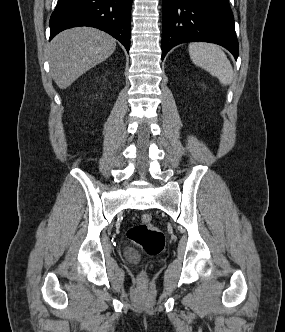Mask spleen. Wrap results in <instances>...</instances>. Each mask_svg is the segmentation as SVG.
Listing matches in <instances>:
<instances>
[{
  "label": "spleen",
  "instance_id": "spleen-1",
  "mask_svg": "<svg viewBox=\"0 0 285 332\" xmlns=\"http://www.w3.org/2000/svg\"><path fill=\"white\" fill-rule=\"evenodd\" d=\"M189 55L193 63L212 76L217 77L223 85L231 84L233 69L223 50L215 44L193 42L189 44Z\"/></svg>",
  "mask_w": 285,
  "mask_h": 332
}]
</instances>
